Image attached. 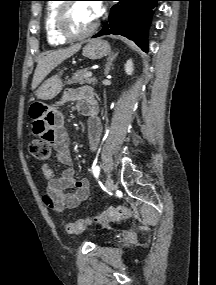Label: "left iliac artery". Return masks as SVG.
Wrapping results in <instances>:
<instances>
[{
	"instance_id": "obj_1",
	"label": "left iliac artery",
	"mask_w": 216,
	"mask_h": 285,
	"mask_svg": "<svg viewBox=\"0 0 216 285\" xmlns=\"http://www.w3.org/2000/svg\"><path fill=\"white\" fill-rule=\"evenodd\" d=\"M99 173H100V167L99 166H95L93 168V174H94L95 178L99 177Z\"/></svg>"
}]
</instances>
